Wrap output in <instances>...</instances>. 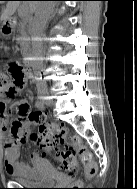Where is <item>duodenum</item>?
Segmentation results:
<instances>
[{"label":"duodenum","instance_id":"1","mask_svg":"<svg viewBox=\"0 0 137 189\" xmlns=\"http://www.w3.org/2000/svg\"><path fill=\"white\" fill-rule=\"evenodd\" d=\"M15 28V21L14 19L10 18L5 20L4 22V34L11 35ZM27 67L29 69V74H34V69L32 67V62H27Z\"/></svg>","mask_w":137,"mask_h":189}]
</instances>
